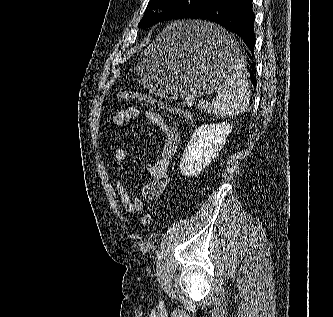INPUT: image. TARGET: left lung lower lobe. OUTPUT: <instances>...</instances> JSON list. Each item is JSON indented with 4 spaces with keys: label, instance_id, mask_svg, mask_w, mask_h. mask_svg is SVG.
Listing matches in <instances>:
<instances>
[{
    "label": "left lung lower lobe",
    "instance_id": "left-lung-lower-lobe-1",
    "mask_svg": "<svg viewBox=\"0 0 333 317\" xmlns=\"http://www.w3.org/2000/svg\"><path fill=\"white\" fill-rule=\"evenodd\" d=\"M252 1L253 0H213L203 8L190 13L186 19L206 20L237 34L253 55L255 46V14L252 9ZM248 70L251 74V82L255 87L257 83L255 64H250Z\"/></svg>",
    "mask_w": 333,
    "mask_h": 317
}]
</instances>
